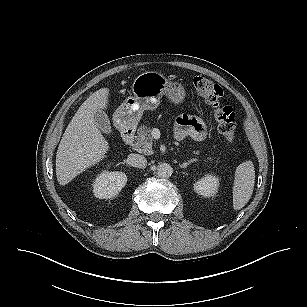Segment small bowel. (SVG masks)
Masks as SVG:
<instances>
[{"mask_svg":"<svg viewBox=\"0 0 307 307\" xmlns=\"http://www.w3.org/2000/svg\"><path fill=\"white\" fill-rule=\"evenodd\" d=\"M207 132L205 124L196 117L181 116L177 119L175 126V137L182 140L186 137H191L197 141H203L206 138Z\"/></svg>","mask_w":307,"mask_h":307,"instance_id":"small-bowel-1","label":"small bowel"}]
</instances>
